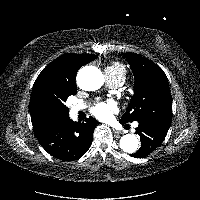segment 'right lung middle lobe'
<instances>
[{
    "label": "right lung middle lobe",
    "instance_id": "dd1d6c3e",
    "mask_svg": "<svg viewBox=\"0 0 200 200\" xmlns=\"http://www.w3.org/2000/svg\"><path fill=\"white\" fill-rule=\"evenodd\" d=\"M77 88L67 91L61 97H50L44 100L41 105V113L44 117L68 115L69 109L65 106V102L70 95H75Z\"/></svg>",
    "mask_w": 200,
    "mask_h": 200
}]
</instances>
